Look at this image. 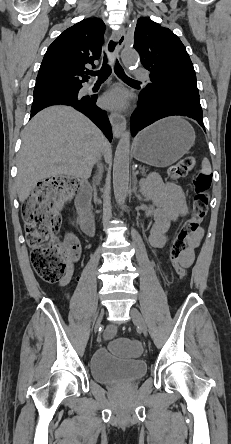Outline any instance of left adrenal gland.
Masks as SVG:
<instances>
[{
    "label": "left adrenal gland",
    "mask_w": 231,
    "mask_h": 444,
    "mask_svg": "<svg viewBox=\"0 0 231 444\" xmlns=\"http://www.w3.org/2000/svg\"><path fill=\"white\" fill-rule=\"evenodd\" d=\"M134 193H135V195H136V197L138 198L139 201L143 200L142 197L138 194V191H137V179L136 178H135V181H134Z\"/></svg>",
    "instance_id": "obj_1"
}]
</instances>
